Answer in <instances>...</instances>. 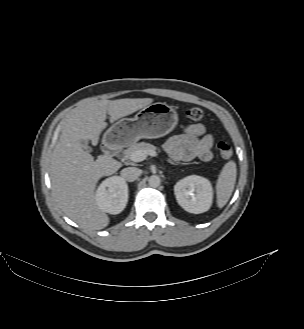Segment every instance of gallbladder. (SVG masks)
I'll return each mask as SVG.
<instances>
[{
	"instance_id": "gallbladder-1",
	"label": "gallbladder",
	"mask_w": 304,
	"mask_h": 329,
	"mask_svg": "<svg viewBox=\"0 0 304 329\" xmlns=\"http://www.w3.org/2000/svg\"><path fill=\"white\" fill-rule=\"evenodd\" d=\"M81 146L82 148L86 151V152H92L93 149L88 145V142L86 140H80Z\"/></svg>"
}]
</instances>
